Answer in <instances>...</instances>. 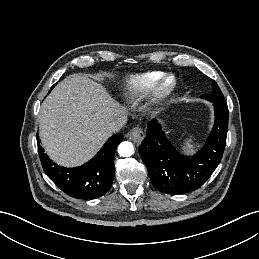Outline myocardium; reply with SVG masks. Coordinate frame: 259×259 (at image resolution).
Returning a JSON list of instances; mask_svg holds the SVG:
<instances>
[{
	"label": "myocardium",
	"instance_id": "f54148a6",
	"mask_svg": "<svg viewBox=\"0 0 259 259\" xmlns=\"http://www.w3.org/2000/svg\"><path fill=\"white\" fill-rule=\"evenodd\" d=\"M176 78L171 75L161 76L149 89L147 106H155L163 103L175 90Z\"/></svg>",
	"mask_w": 259,
	"mask_h": 259
}]
</instances>
